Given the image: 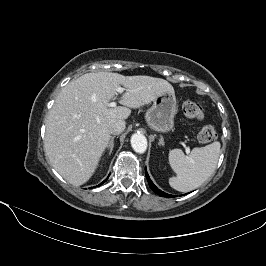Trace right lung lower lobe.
Here are the masks:
<instances>
[{
  "mask_svg": "<svg viewBox=\"0 0 266 266\" xmlns=\"http://www.w3.org/2000/svg\"><path fill=\"white\" fill-rule=\"evenodd\" d=\"M107 180V179H106ZM106 180H104L102 183H100L98 186L102 185Z\"/></svg>",
  "mask_w": 266,
  "mask_h": 266,
  "instance_id": "1",
  "label": "right lung lower lobe"
}]
</instances>
